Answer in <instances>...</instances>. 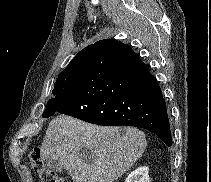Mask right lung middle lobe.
Here are the masks:
<instances>
[{"mask_svg":"<svg viewBox=\"0 0 211 182\" xmlns=\"http://www.w3.org/2000/svg\"><path fill=\"white\" fill-rule=\"evenodd\" d=\"M84 68L83 65H78L66 68L59 74L54 90L52 91L53 98L47 102L46 110L42 115L44 118L55 113L56 101L66 98L75 89Z\"/></svg>","mask_w":211,"mask_h":182,"instance_id":"1","label":"right lung middle lobe"}]
</instances>
